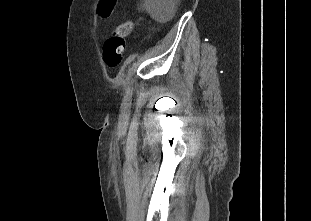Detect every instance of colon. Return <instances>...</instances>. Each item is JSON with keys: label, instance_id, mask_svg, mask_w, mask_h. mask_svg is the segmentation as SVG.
I'll return each instance as SVG.
<instances>
[{"label": "colon", "instance_id": "obj_1", "mask_svg": "<svg viewBox=\"0 0 311 221\" xmlns=\"http://www.w3.org/2000/svg\"><path fill=\"white\" fill-rule=\"evenodd\" d=\"M116 8V0H102L101 6L96 7L95 16L101 20H108L112 9ZM133 21H125L119 24L113 36L107 39L103 47V58L108 67H117L122 59L125 49V38L131 31Z\"/></svg>", "mask_w": 311, "mask_h": 221}]
</instances>
